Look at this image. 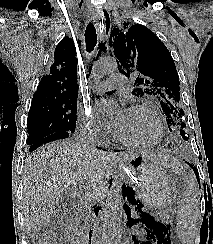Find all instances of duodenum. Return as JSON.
I'll return each instance as SVG.
<instances>
[{
  "label": "duodenum",
  "mask_w": 213,
  "mask_h": 244,
  "mask_svg": "<svg viewBox=\"0 0 213 244\" xmlns=\"http://www.w3.org/2000/svg\"><path fill=\"white\" fill-rule=\"evenodd\" d=\"M94 219L99 220L100 216L98 215V213L93 209L92 210V215H91ZM98 235V231L95 228H92L90 233H89V239L90 242L89 244H96V242L94 241L95 237Z\"/></svg>",
  "instance_id": "410a0bca"
}]
</instances>
